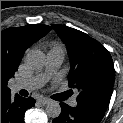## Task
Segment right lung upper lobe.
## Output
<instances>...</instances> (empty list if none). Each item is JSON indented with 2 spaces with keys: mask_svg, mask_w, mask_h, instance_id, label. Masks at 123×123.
<instances>
[{
  "mask_svg": "<svg viewBox=\"0 0 123 123\" xmlns=\"http://www.w3.org/2000/svg\"><path fill=\"white\" fill-rule=\"evenodd\" d=\"M51 29L35 24L1 31V98L11 95L7 83L17 71L25 50Z\"/></svg>",
  "mask_w": 123,
  "mask_h": 123,
  "instance_id": "1",
  "label": "right lung upper lobe"
}]
</instances>
